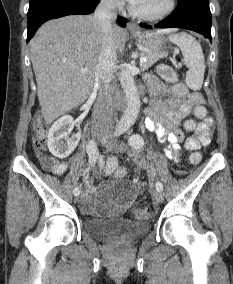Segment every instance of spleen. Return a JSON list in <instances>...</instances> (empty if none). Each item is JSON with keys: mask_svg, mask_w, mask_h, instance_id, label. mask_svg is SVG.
<instances>
[{"mask_svg": "<svg viewBox=\"0 0 233 284\" xmlns=\"http://www.w3.org/2000/svg\"><path fill=\"white\" fill-rule=\"evenodd\" d=\"M169 40L180 48L184 57L185 65L188 68L187 86L194 91L200 90L205 73L204 55L200 43L187 33L171 34Z\"/></svg>", "mask_w": 233, "mask_h": 284, "instance_id": "1", "label": "spleen"}]
</instances>
